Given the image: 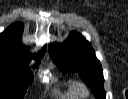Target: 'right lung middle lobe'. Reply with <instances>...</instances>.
Instances as JSON below:
<instances>
[{
  "label": "right lung middle lobe",
  "instance_id": "1",
  "mask_svg": "<svg viewBox=\"0 0 128 99\" xmlns=\"http://www.w3.org/2000/svg\"><path fill=\"white\" fill-rule=\"evenodd\" d=\"M29 58H0V99H22L33 78L28 66ZM40 63L37 57L36 67Z\"/></svg>",
  "mask_w": 128,
  "mask_h": 99
}]
</instances>
